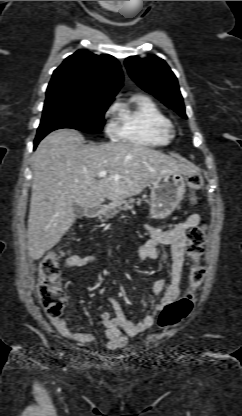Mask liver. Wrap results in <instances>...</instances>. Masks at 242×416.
<instances>
[{
  "mask_svg": "<svg viewBox=\"0 0 242 416\" xmlns=\"http://www.w3.org/2000/svg\"><path fill=\"white\" fill-rule=\"evenodd\" d=\"M108 174L98 178L100 171ZM192 175L191 167L148 147L130 143L84 144L76 130L60 129L38 145L28 219V251L40 259L75 221L73 203L99 207L104 199L138 195L167 173Z\"/></svg>",
  "mask_w": 242,
  "mask_h": 416,
  "instance_id": "obj_1",
  "label": "liver"
}]
</instances>
